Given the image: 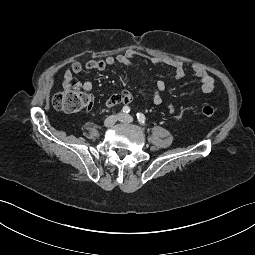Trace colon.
Masks as SVG:
<instances>
[{"label":"colon","mask_w":255,"mask_h":255,"mask_svg":"<svg viewBox=\"0 0 255 255\" xmlns=\"http://www.w3.org/2000/svg\"><path fill=\"white\" fill-rule=\"evenodd\" d=\"M53 106L63 112L74 113L89 109L92 106V99L89 94L80 90L77 84L70 79H65L63 89L53 97ZM201 113L206 117H214L216 110L211 105H204Z\"/></svg>","instance_id":"5ec220e1"}]
</instances>
